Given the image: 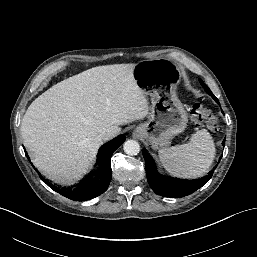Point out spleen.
Listing matches in <instances>:
<instances>
[{
  "label": "spleen",
  "mask_w": 257,
  "mask_h": 257,
  "mask_svg": "<svg viewBox=\"0 0 257 257\" xmlns=\"http://www.w3.org/2000/svg\"><path fill=\"white\" fill-rule=\"evenodd\" d=\"M215 145L210 133L201 129L192 134L187 144L159 150L163 167L182 178H197L208 172L215 158Z\"/></svg>",
  "instance_id": "obj_1"
}]
</instances>
